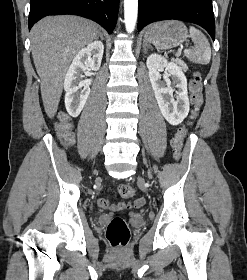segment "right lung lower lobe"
Masks as SVG:
<instances>
[{
  "mask_svg": "<svg viewBox=\"0 0 247 280\" xmlns=\"http://www.w3.org/2000/svg\"><path fill=\"white\" fill-rule=\"evenodd\" d=\"M119 0H31L29 29L47 15L73 14L100 23L109 34L115 28Z\"/></svg>",
  "mask_w": 247,
  "mask_h": 280,
  "instance_id": "1",
  "label": "right lung lower lobe"
}]
</instances>
